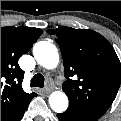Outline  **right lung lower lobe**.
I'll return each mask as SVG.
<instances>
[{
	"instance_id": "right-lung-lower-lobe-1",
	"label": "right lung lower lobe",
	"mask_w": 121,
	"mask_h": 121,
	"mask_svg": "<svg viewBox=\"0 0 121 121\" xmlns=\"http://www.w3.org/2000/svg\"><path fill=\"white\" fill-rule=\"evenodd\" d=\"M29 103H30V101L26 105H24L15 115H13L11 118H9L8 121H19L21 119V117L23 116Z\"/></svg>"
}]
</instances>
